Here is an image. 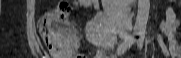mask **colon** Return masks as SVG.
<instances>
[{"label": "colon", "instance_id": "obj_1", "mask_svg": "<svg viewBox=\"0 0 181 58\" xmlns=\"http://www.w3.org/2000/svg\"><path fill=\"white\" fill-rule=\"evenodd\" d=\"M70 7L60 2L57 7L46 12L39 24L41 37L48 49L56 55L71 58H85L76 52V31L69 22Z\"/></svg>", "mask_w": 181, "mask_h": 58}]
</instances>
